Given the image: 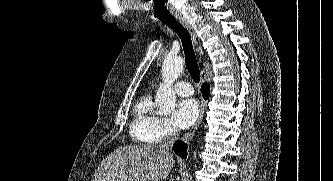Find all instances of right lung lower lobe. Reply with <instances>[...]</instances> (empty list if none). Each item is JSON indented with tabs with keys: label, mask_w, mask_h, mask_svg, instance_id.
Returning <instances> with one entry per match:
<instances>
[{
	"label": "right lung lower lobe",
	"mask_w": 333,
	"mask_h": 181,
	"mask_svg": "<svg viewBox=\"0 0 333 181\" xmlns=\"http://www.w3.org/2000/svg\"><path fill=\"white\" fill-rule=\"evenodd\" d=\"M201 89H202L203 97L205 99H208V97H209V90H210L209 84L208 83H204L202 85ZM173 150H174V152L177 155H179V156L183 157L184 159H186V156H187V144H185L182 141H177L173 145Z\"/></svg>",
	"instance_id": "1"
}]
</instances>
